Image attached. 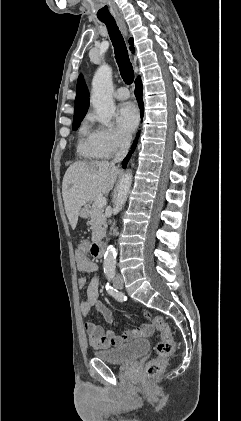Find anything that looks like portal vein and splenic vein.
<instances>
[{
  "mask_svg": "<svg viewBox=\"0 0 241 421\" xmlns=\"http://www.w3.org/2000/svg\"><path fill=\"white\" fill-rule=\"evenodd\" d=\"M107 204V199L105 197H100L95 201L97 207H104Z\"/></svg>",
  "mask_w": 241,
  "mask_h": 421,
  "instance_id": "portal-vein-and-splenic-vein-1",
  "label": "portal vein and splenic vein"
}]
</instances>
